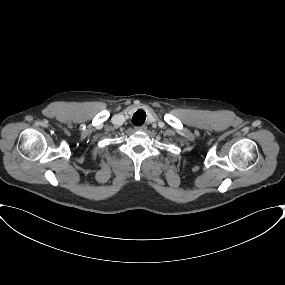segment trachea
<instances>
[{"label": "trachea", "mask_w": 285, "mask_h": 285, "mask_svg": "<svg viewBox=\"0 0 285 285\" xmlns=\"http://www.w3.org/2000/svg\"><path fill=\"white\" fill-rule=\"evenodd\" d=\"M146 119V113L144 110H138L134 113L132 117V123L136 126H141Z\"/></svg>", "instance_id": "trachea-1"}]
</instances>
